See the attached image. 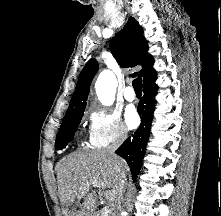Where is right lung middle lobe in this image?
I'll use <instances>...</instances> for the list:
<instances>
[{"mask_svg": "<svg viewBox=\"0 0 221 216\" xmlns=\"http://www.w3.org/2000/svg\"><path fill=\"white\" fill-rule=\"evenodd\" d=\"M83 112L64 117L55 141V148L61 150L69 141L73 140L74 132L82 119Z\"/></svg>", "mask_w": 221, "mask_h": 216, "instance_id": "1", "label": "right lung middle lobe"}]
</instances>
